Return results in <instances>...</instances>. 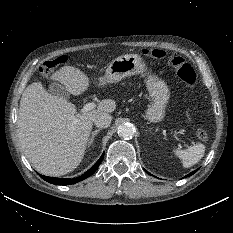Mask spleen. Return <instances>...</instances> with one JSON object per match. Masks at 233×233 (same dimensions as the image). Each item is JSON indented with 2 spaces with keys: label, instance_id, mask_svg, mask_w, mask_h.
I'll return each instance as SVG.
<instances>
[{
  "label": "spleen",
  "instance_id": "1",
  "mask_svg": "<svg viewBox=\"0 0 233 233\" xmlns=\"http://www.w3.org/2000/svg\"><path fill=\"white\" fill-rule=\"evenodd\" d=\"M205 146L197 143L186 150H175V154L182 160L183 167L189 168L197 164L204 156Z\"/></svg>",
  "mask_w": 233,
  "mask_h": 233
}]
</instances>
